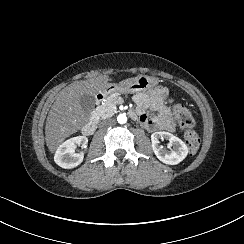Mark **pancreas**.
<instances>
[{
	"label": "pancreas",
	"mask_w": 244,
	"mask_h": 244,
	"mask_svg": "<svg viewBox=\"0 0 244 244\" xmlns=\"http://www.w3.org/2000/svg\"><path fill=\"white\" fill-rule=\"evenodd\" d=\"M114 101V97H109L104 105L100 107V109H102L104 112H108L112 107H115Z\"/></svg>",
	"instance_id": "cf45deb5"
}]
</instances>
